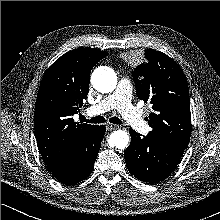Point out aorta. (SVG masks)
Returning <instances> with one entry per match:
<instances>
[{
	"label": "aorta",
	"mask_w": 220,
	"mask_h": 220,
	"mask_svg": "<svg viewBox=\"0 0 220 220\" xmlns=\"http://www.w3.org/2000/svg\"><path fill=\"white\" fill-rule=\"evenodd\" d=\"M91 83L101 93L112 92L117 85L116 73L109 67H98L92 74ZM130 141L129 134L124 130H117L111 133L108 143L111 147L125 149Z\"/></svg>",
	"instance_id": "1"
}]
</instances>
